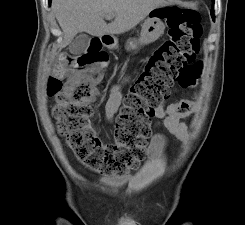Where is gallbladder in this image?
I'll return each mask as SVG.
<instances>
[{"mask_svg": "<svg viewBox=\"0 0 245 225\" xmlns=\"http://www.w3.org/2000/svg\"><path fill=\"white\" fill-rule=\"evenodd\" d=\"M90 44V37L87 34H79L69 45V51L73 55H82Z\"/></svg>", "mask_w": 245, "mask_h": 225, "instance_id": "1", "label": "gallbladder"}]
</instances>
